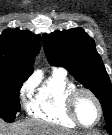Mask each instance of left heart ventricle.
Masks as SVG:
<instances>
[{
    "instance_id": "1",
    "label": "left heart ventricle",
    "mask_w": 112,
    "mask_h": 135,
    "mask_svg": "<svg viewBox=\"0 0 112 135\" xmlns=\"http://www.w3.org/2000/svg\"><path fill=\"white\" fill-rule=\"evenodd\" d=\"M76 111L80 120L86 124H93L98 117V109L92 98L81 93L76 98Z\"/></svg>"
}]
</instances>
